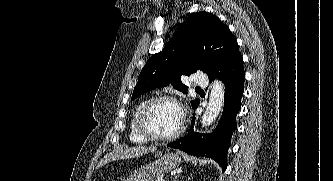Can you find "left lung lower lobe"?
I'll return each instance as SVG.
<instances>
[{"instance_id":"1","label":"left lung lower lobe","mask_w":333,"mask_h":181,"mask_svg":"<svg viewBox=\"0 0 333 181\" xmlns=\"http://www.w3.org/2000/svg\"><path fill=\"white\" fill-rule=\"evenodd\" d=\"M210 82L218 77L225 84L224 110L215 130L210 134L193 131L195 115L188 134L167 146L179 148L189 155L212 158L223 170L227 167V150L231 143L232 133L237 127L236 115L241 107L244 92L243 59L236 46L225 61L208 75ZM199 104V103H198ZM198 104L193 108L195 109Z\"/></svg>"}]
</instances>
